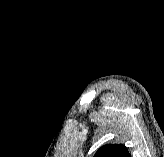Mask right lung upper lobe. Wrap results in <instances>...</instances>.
<instances>
[{
  "label": "right lung upper lobe",
  "mask_w": 164,
  "mask_h": 157,
  "mask_svg": "<svg viewBox=\"0 0 164 157\" xmlns=\"http://www.w3.org/2000/svg\"><path fill=\"white\" fill-rule=\"evenodd\" d=\"M93 157H131L122 144H107L99 148Z\"/></svg>",
  "instance_id": "cb5924a9"
}]
</instances>
